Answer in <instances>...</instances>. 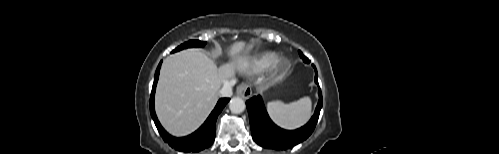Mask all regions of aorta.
Here are the masks:
<instances>
[{
    "instance_id": "aorta-1",
    "label": "aorta",
    "mask_w": 499,
    "mask_h": 154,
    "mask_svg": "<svg viewBox=\"0 0 499 154\" xmlns=\"http://www.w3.org/2000/svg\"><path fill=\"white\" fill-rule=\"evenodd\" d=\"M245 108V102L240 97H234L229 102V109L232 113H241L245 110Z\"/></svg>"
}]
</instances>
